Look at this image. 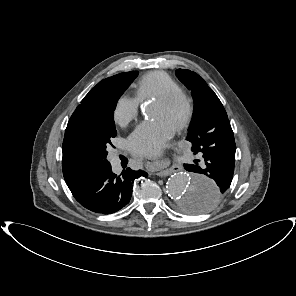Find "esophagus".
<instances>
[{
  "instance_id": "esophagus-1",
  "label": "esophagus",
  "mask_w": 296,
  "mask_h": 296,
  "mask_svg": "<svg viewBox=\"0 0 296 296\" xmlns=\"http://www.w3.org/2000/svg\"><path fill=\"white\" fill-rule=\"evenodd\" d=\"M172 163L168 164H158L154 161L153 157H151L148 161L147 167L151 174L156 176H166L172 172L171 169Z\"/></svg>"
}]
</instances>
